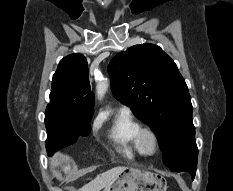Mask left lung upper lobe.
Instances as JSON below:
<instances>
[{
	"instance_id": "1",
	"label": "left lung upper lobe",
	"mask_w": 233,
	"mask_h": 191,
	"mask_svg": "<svg viewBox=\"0 0 233 191\" xmlns=\"http://www.w3.org/2000/svg\"><path fill=\"white\" fill-rule=\"evenodd\" d=\"M108 73L114 97L156 133L164 164L197 163L191 99L174 61L159 46L140 44L117 54Z\"/></svg>"
}]
</instances>
